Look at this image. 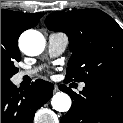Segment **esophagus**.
Returning <instances> with one entry per match:
<instances>
[{"mask_svg": "<svg viewBox=\"0 0 123 123\" xmlns=\"http://www.w3.org/2000/svg\"><path fill=\"white\" fill-rule=\"evenodd\" d=\"M54 93L59 91L58 85H54V89H53Z\"/></svg>", "mask_w": 123, "mask_h": 123, "instance_id": "esophagus-1", "label": "esophagus"}]
</instances>
